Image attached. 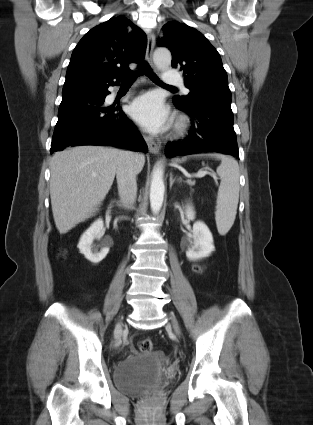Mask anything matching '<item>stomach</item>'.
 Returning a JSON list of instances; mask_svg holds the SVG:
<instances>
[{
    "mask_svg": "<svg viewBox=\"0 0 313 425\" xmlns=\"http://www.w3.org/2000/svg\"><path fill=\"white\" fill-rule=\"evenodd\" d=\"M185 159H177V160H175V162L176 163H181V162H183Z\"/></svg>",
    "mask_w": 313,
    "mask_h": 425,
    "instance_id": "1",
    "label": "stomach"
}]
</instances>
